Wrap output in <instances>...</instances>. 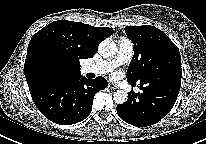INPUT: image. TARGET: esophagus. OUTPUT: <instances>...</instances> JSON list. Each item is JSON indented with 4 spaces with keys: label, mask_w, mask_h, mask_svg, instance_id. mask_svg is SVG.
<instances>
[{
    "label": "esophagus",
    "mask_w": 206,
    "mask_h": 144,
    "mask_svg": "<svg viewBox=\"0 0 206 144\" xmlns=\"http://www.w3.org/2000/svg\"><path fill=\"white\" fill-rule=\"evenodd\" d=\"M108 87H109L110 89H116V88H117V85H116L115 83L109 82V83H108Z\"/></svg>",
    "instance_id": "34e87169"
}]
</instances>
